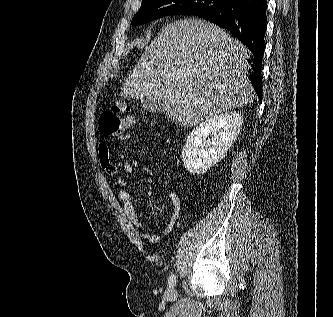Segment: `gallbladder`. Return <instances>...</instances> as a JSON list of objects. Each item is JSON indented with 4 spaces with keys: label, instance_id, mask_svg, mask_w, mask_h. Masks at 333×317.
<instances>
[{
    "label": "gallbladder",
    "instance_id": "gallbladder-1",
    "mask_svg": "<svg viewBox=\"0 0 333 317\" xmlns=\"http://www.w3.org/2000/svg\"><path fill=\"white\" fill-rule=\"evenodd\" d=\"M167 99L164 96L144 97L140 99L141 106L150 113H161L164 111Z\"/></svg>",
    "mask_w": 333,
    "mask_h": 317
}]
</instances>
